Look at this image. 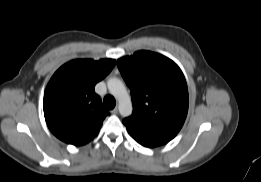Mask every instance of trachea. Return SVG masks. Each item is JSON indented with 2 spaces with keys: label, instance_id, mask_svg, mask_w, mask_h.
<instances>
[{
  "label": "trachea",
  "instance_id": "1",
  "mask_svg": "<svg viewBox=\"0 0 261 182\" xmlns=\"http://www.w3.org/2000/svg\"><path fill=\"white\" fill-rule=\"evenodd\" d=\"M103 104H104V106H105L107 109L111 110V109H113V108L115 107V105H116L115 98H114L113 96H111V95H107V96H105V98H104V100H103Z\"/></svg>",
  "mask_w": 261,
  "mask_h": 182
}]
</instances>
